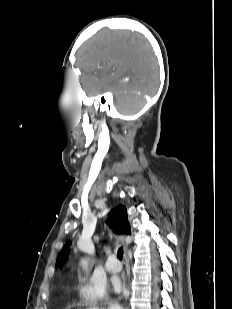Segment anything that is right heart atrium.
<instances>
[{"label":"right heart atrium","mask_w":232,"mask_h":309,"mask_svg":"<svg viewBox=\"0 0 232 309\" xmlns=\"http://www.w3.org/2000/svg\"><path fill=\"white\" fill-rule=\"evenodd\" d=\"M80 301L89 306H98L107 303L105 289L90 280H82L77 286Z\"/></svg>","instance_id":"right-heart-atrium-1"}]
</instances>
